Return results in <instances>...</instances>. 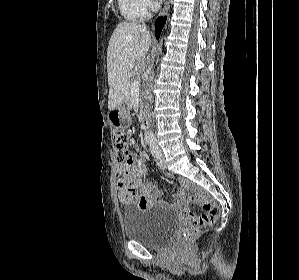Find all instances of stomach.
Returning a JSON list of instances; mask_svg holds the SVG:
<instances>
[{
    "label": "stomach",
    "instance_id": "0dacf381",
    "mask_svg": "<svg viewBox=\"0 0 299 280\" xmlns=\"http://www.w3.org/2000/svg\"><path fill=\"white\" fill-rule=\"evenodd\" d=\"M110 124L116 129H125L130 126L131 118L129 115V106L123 103L108 113Z\"/></svg>",
    "mask_w": 299,
    "mask_h": 280
}]
</instances>
